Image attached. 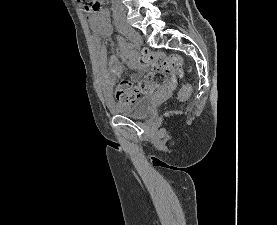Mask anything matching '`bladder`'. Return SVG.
Instances as JSON below:
<instances>
[{
	"label": "bladder",
	"mask_w": 277,
	"mask_h": 225,
	"mask_svg": "<svg viewBox=\"0 0 277 225\" xmlns=\"http://www.w3.org/2000/svg\"><path fill=\"white\" fill-rule=\"evenodd\" d=\"M108 108L111 112L132 117L140 118L149 114L153 109L152 95H144L132 103L118 102L114 104H108Z\"/></svg>",
	"instance_id": "obj_1"
}]
</instances>
